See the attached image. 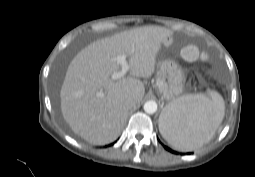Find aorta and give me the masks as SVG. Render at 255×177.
<instances>
[{
    "label": "aorta",
    "mask_w": 255,
    "mask_h": 177,
    "mask_svg": "<svg viewBox=\"0 0 255 177\" xmlns=\"http://www.w3.org/2000/svg\"><path fill=\"white\" fill-rule=\"evenodd\" d=\"M143 108L146 113L153 114L157 111V103L155 101H147Z\"/></svg>",
    "instance_id": "1"
}]
</instances>
